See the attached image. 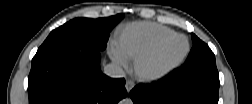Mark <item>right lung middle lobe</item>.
Returning <instances> with one entry per match:
<instances>
[{"label": "right lung middle lobe", "instance_id": "right-lung-middle-lobe-1", "mask_svg": "<svg viewBox=\"0 0 252 104\" xmlns=\"http://www.w3.org/2000/svg\"><path fill=\"white\" fill-rule=\"evenodd\" d=\"M124 14L99 19L76 18L53 30L37 53L66 45L88 47L97 51L106 48L109 32Z\"/></svg>", "mask_w": 252, "mask_h": 104}]
</instances>
